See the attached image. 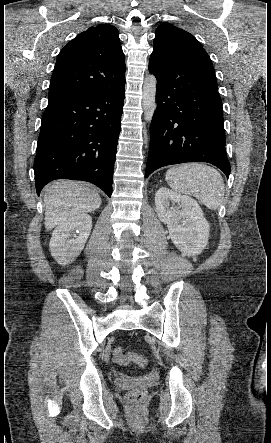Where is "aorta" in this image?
<instances>
[{"instance_id":"762f6f07","label":"aorta","mask_w":271,"mask_h":443,"mask_svg":"<svg viewBox=\"0 0 271 443\" xmlns=\"http://www.w3.org/2000/svg\"><path fill=\"white\" fill-rule=\"evenodd\" d=\"M156 86H157V80L155 76H146L143 84V100H142L144 120H146V122H151L154 116V112L157 108Z\"/></svg>"}]
</instances>
